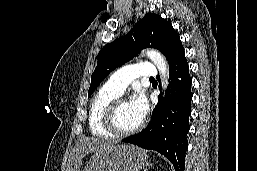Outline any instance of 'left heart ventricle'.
Instances as JSON below:
<instances>
[{
    "instance_id": "left-heart-ventricle-1",
    "label": "left heart ventricle",
    "mask_w": 257,
    "mask_h": 171,
    "mask_svg": "<svg viewBox=\"0 0 257 171\" xmlns=\"http://www.w3.org/2000/svg\"><path fill=\"white\" fill-rule=\"evenodd\" d=\"M141 118L135 113L129 102L122 103L116 112V124L121 130H129L141 122Z\"/></svg>"
}]
</instances>
